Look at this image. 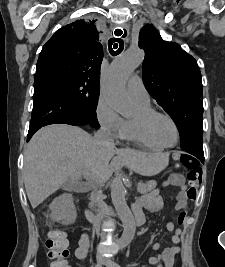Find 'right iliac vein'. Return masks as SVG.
Instances as JSON below:
<instances>
[{
    "instance_id": "right-iliac-vein-1",
    "label": "right iliac vein",
    "mask_w": 225,
    "mask_h": 267,
    "mask_svg": "<svg viewBox=\"0 0 225 267\" xmlns=\"http://www.w3.org/2000/svg\"><path fill=\"white\" fill-rule=\"evenodd\" d=\"M101 262H102V256L100 254H98L96 257V266L95 267H99Z\"/></svg>"
}]
</instances>
